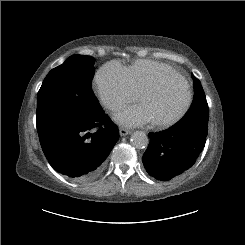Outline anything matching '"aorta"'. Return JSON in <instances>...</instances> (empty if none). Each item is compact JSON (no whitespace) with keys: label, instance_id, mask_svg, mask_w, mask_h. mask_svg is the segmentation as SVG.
Returning a JSON list of instances; mask_svg holds the SVG:
<instances>
[{"label":"aorta","instance_id":"762f6f07","mask_svg":"<svg viewBox=\"0 0 245 245\" xmlns=\"http://www.w3.org/2000/svg\"><path fill=\"white\" fill-rule=\"evenodd\" d=\"M131 144L136 149H144L149 144V139L147 135L142 131H136L131 136Z\"/></svg>","mask_w":245,"mask_h":245}]
</instances>
